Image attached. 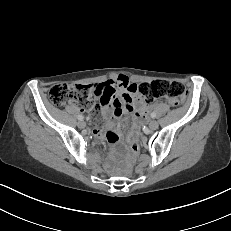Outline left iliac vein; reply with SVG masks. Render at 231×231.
<instances>
[{
  "label": "left iliac vein",
  "mask_w": 231,
  "mask_h": 231,
  "mask_svg": "<svg viewBox=\"0 0 231 231\" xmlns=\"http://www.w3.org/2000/svg\"><path fill=\"white\" fill-rule=\"evenodd\" d=\"M158 127H159V124L157 121H155V120L150 121L149 128L151 130H156V129H158Z\"/></svg>",
  "instance_id": "obj_1"
}]
</instances>
